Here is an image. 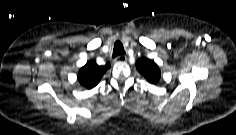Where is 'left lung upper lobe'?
I'll return each instance as SVG.
<instances>
[{
  "label": "left lung upper lobe",
  "mask_w": 236,
  "mask_h": 135,
  "mask_svg": "<svg viewBox=\"0 0 236 135\" xmlns=\"http://www.w3.org/2000/svg\"><path fill=\"white\" fill-rule=\"evenodd\" d=\"M136 67L151 84H155L160 79V69L153 60L142 57L137 60Z\"/></svg>",
  "instance_id": "5c2ea615"
}]
</instances>
